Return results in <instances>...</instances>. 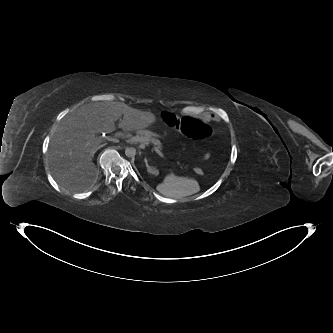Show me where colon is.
Segmentation results:
<instances>
[{
  "instance_id": "5ec220e1",
  "label": "colon",
  "mask_w": 333,
  "mask_h": 333,
  "mask_svg": "<svg viewBox=\"0 0 333 333\" xmlns=\"http://www.w3.org/2000/svg\"><path fill=\"white\" fill-rule=\"evenodd\" d=\"M159 123L171 131L180 130L182 134L195 140H208L214 136V129L210 124L191 117L181 118L171 111L161 113ZM195 172L198 175L203 174L201 169H196Z\"/></svg>"
}]
</instances>
